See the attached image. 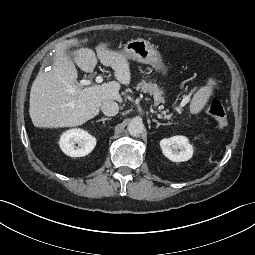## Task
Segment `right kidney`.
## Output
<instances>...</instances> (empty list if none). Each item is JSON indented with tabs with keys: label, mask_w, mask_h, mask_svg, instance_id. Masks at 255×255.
Here are the masks:
<instances>
[{
	"label": "right kidney",
	"mask_w": 255,
	"mask_h": 255,
	"mask_svg": "<svg viewBox=\"0 0 255 255\" xmlns=\"http://www.w3.org/2000/svg\"><path fill=\"white\" fill-rule=\"evenodd\" d=\"M59 145L66 155L83 157L94 149L96 139L83 129H71L61 135Z\"/></svg>",
	"instance_id": "obj_1"
}]
</instances>
